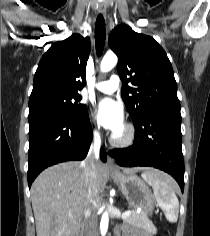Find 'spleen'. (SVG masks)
I'll return each instance as SVG.
<instances>
[{
    "label": "spleen",
    "mask_w": 210,
    "mask_h": 236,
    "mask_svg": "<svg viewBox=\"0 0 210 236\" xmlns=\"http://www.w3.org/2000/svg\"><path fill=\"white\" fill-rule=\"evenodd\" d=\"M143 179L153 188L157 204L164 211L167 220L174 223L178 219L179 201L172 188V180L166 174L154 171L142 173Z\"/></svg>",
    "instance_id": "spleen-1"
}]
</instances>
